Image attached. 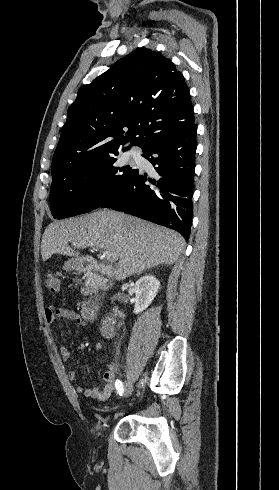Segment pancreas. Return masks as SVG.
Instances as JSON below:
<instances>
[{"label": "pancreas", "mask_w": 279, "mask_h": 490, "mask_svg": "<svg viewBox=\"0 0 279 490\" xmlns=\"http://www.w3.org/2000/svg\"><path fill=\"white\" fill-rule=\"evenodd\" d=\"M105 284V278H100V276H90V278H87L85 284H83L81 292L83 296H92V294H95L98 288H102V286H105Z\"/></svg>", "instance_id": "1"}]
</instances>
